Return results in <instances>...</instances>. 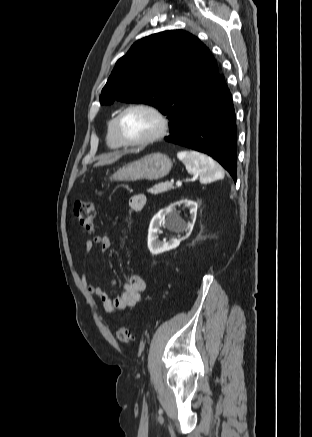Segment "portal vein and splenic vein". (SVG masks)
Wrapping results in <instances>:
<instances>
[{
  "mask_svg": "<svg viewBox=\"0 0 312 437\" xmlns=\"http://www.w3.org/2000/svg\"><path fill=\"white\" fill-rule=\"evenodd\" d=\"M176 185H177V186H181V185H182V181L178 180V181L176 182Z\"/></svg>",
  "mask_w": 312,
  "mask_h": 437,
  "instance_id": "1",
  "label": "portal vein and splenic vein"
}]
</instances>
